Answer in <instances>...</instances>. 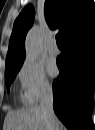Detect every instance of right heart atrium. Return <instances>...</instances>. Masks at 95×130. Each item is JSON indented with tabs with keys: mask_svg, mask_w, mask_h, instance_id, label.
<instances>
[{
	"mask_svg": "<svg viewBox=\"0 0 95 130\" xmlns=\"http://www.w3.org/2000/svg\"><path fill=\"white\" fill-rule=\"evenodd\" d=\"M18 80L24 99L29 104L38 102L52 91L51 82L38 63L25 62L19 69Z\"/></svg>",
	"mask_w": 95,
	"mask_h": 130,
	"instance_id": "d8ad5b80",
	"label": "right heart atrium"
}]
</instances>
